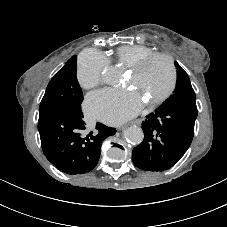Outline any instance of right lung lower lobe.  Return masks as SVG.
<instances>
[{"label": "right lung lower lobe", "instance_id": "98d812e1", "mask_svg": "<svg viewBox=\"0 0 227 227\" xmlns=\"http://www.w3.org/2000/svg\"><path fill=\"white\" fill-rule=\"evenodd\" d=\"M82 112L62 111L38 122L41 146L46 158L66 174H83L98 163L101 143L115 128L97 123L85 134Z\"/></svg>", "mask_w": 227, "mask_h": 227}]
</instances>
